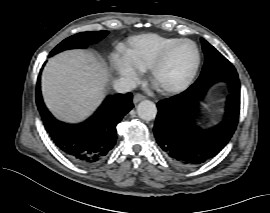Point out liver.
<instances>
[{
  "label": "liver",
  "instance_id": "obj_1",
  "mask_svg": "<svg viewBox=\"0 0 270 213\" xmlns=\"http://www.w3.org/2000/svg\"><path fill=\"white\" fill-rule=\"evenodd\" d=\"M107 72L89 53L69 50L51 58L42 73V94L59 119L78 122L101 103Z\"/></svg>",
  "mask_w": 270,
  "mask_h": 213
}]
</instances>
